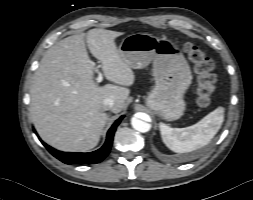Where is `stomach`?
Instances as JSON below:
<instances>
[{"mask_svg": "<svg viewBox=\"0 0 253 200\" xmlns=\"http://www.w3.org/2000/svg\"><path fill=\"white\" fill-rule=\"evenodd\" d=\"M118 51L122 60L133 69L144 68L153 61L155 86L148 94L146 104L161 118H180L185 110L183 96L192 82V74L179 48L151 34L135 33L122 40Z\"/></svg>", "mask_w": 253, "mask_h": 200, "instance_id": "obj_1", "label": "stomach"}]
</instances>
